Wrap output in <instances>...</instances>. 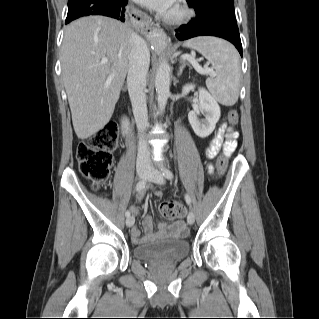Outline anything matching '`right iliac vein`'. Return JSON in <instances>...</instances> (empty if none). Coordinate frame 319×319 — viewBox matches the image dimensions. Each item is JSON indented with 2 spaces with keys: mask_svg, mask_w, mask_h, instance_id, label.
<instances>
[{
  "mask_svg": "<svg viewBox=\"0 0 319 319\" xmlns=\"http://www.w3.org/2000/svg\"><path fill=\"white\" fill-rule=\"evenodd\" d=\"M138 175L141 179H145L148 177V170L147 169H140L138 171ZM134 224V217L133 216H129L126 219V225L128 227H131Z\"/></svg>",
  "mask_w": 319,
  "mask_h": 319,
  "instance_id": "63e3f726",
  "label": "right iliac vein"
}]
</instances>
